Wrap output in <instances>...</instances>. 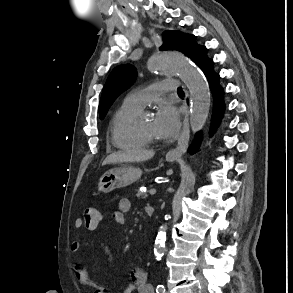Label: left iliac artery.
<instances>
[{
    "label": "left iliac artery",
    "instance_id": "obj_1",
    "mask_svg": "<svg viewBox=\"0 0 293 293\" xmlns=\"http://www.w3.org/2000/svg\"><path fill=\"white\" fill-rule=\"evenodd\" d=\"M165 287L162 284H158L156 287V293H165Z\"/></svg>",
    "mask_w": 293,
    "mask_h": 293
}]
</instances>
